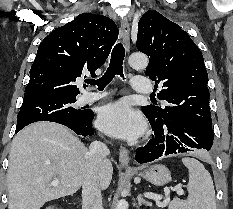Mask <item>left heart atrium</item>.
<instances>
[{
    "label": "left heart atrium",
    "mask_w": 233,
    "mask_h": 209,
    "mask_svg": "<svg viewBox=\"0 0 233 209\" xmlns=\"http://www.w3.org/2000/svg\"><path fill=\"white\" fill-rule=\"evenodd\" d=\"M99 128L105 133L132 139L144 131V121L126 101H117L103 106L100 109L98 120Z\"/></svg>",
    "instance_id": "1"
}]
</instances>
